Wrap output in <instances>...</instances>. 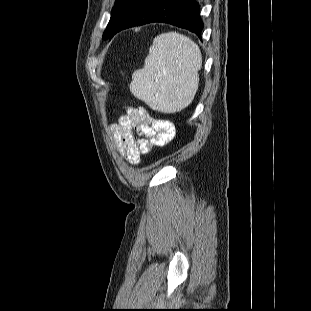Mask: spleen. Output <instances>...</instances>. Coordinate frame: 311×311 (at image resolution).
Segmentation results:
<instances>
[{"label": "spleen", "mask_w": 311, "mask_h": 311, "mask_svg": "<svg viewBox=\"0 0 311 311\" xmlns=\"http://www.w3.org/2000/svg\"><path fill=\"white\" fill-rule=\"evenodd\" d=\"M201 67L194 41L177 32L162 33L154 38L143 68L132 74L130 91L153 110L179 112L197 92Z\"/></svg>", "instance_id": "1"}]
</instances>
